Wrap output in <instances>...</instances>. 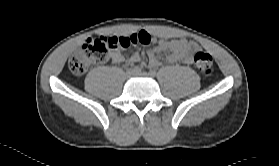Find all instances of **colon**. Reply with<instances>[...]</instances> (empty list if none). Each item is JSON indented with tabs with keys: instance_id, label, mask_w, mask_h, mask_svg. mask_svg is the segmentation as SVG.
Returning a JSON list of instances; mask_svg holds the SVG:
<instances>
[{
	"instance_id": "5ec220e1",
	"label": "colon",
	"mask_w": 279,
	"mask_h": 166,
	"mask_svg": "<svg viewBox=\"0 0 279 166\" xmlns=\"http://www.w3.org/2000/svg\"><path fill=\"white\" fill-rule=\"evenodd\" d=\"M137 42L146 44L147 37L141 35L138 39L129 36L89 38L70 57L68 61L69 69L76 75L84 74L92 65L105 62L108 59L110 50L127 48ZM194 63L197 69L205 75H209L213 70V58L207 52H197L194 56Z\"/></svg>"
}]
</instances>
